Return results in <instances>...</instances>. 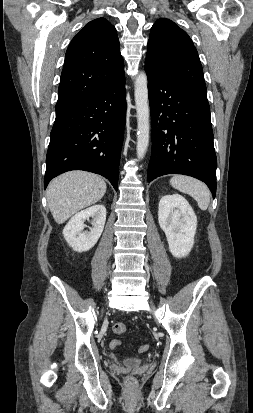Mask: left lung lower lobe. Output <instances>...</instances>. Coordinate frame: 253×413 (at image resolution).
<instances>
[{
  "instance_id": "0a47b994",
  "label": "left lung lower lobe",
  "mask_w": 253,
  "mask_h": 413,
  "mask_svg": "<svg viewBox=\"0 0 253 413\" xmlns=\"http://www.w3.org/2000/svg\"><path fill=\"white\" fill-rule=\"evenodd\" d=\"M152 121V153L147 180L184 174L216 194L217 158L208 100L171 81L145 62Z\"/></svg>"
}]
</instances>
